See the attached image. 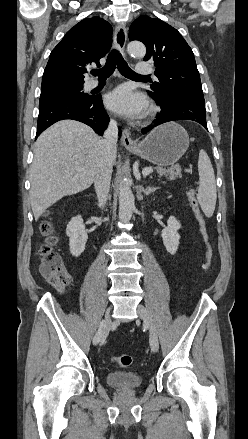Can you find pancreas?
<instances>
[{
    "mask_svg": "<svg viewBox=\"0 0 248 439\" xmlns=\"http://www.w3.org/2000/svg\"><path fill=\"white\" fill-rule=\"evenodd\" d=\"M157 173L159 174V176H169L170 180L175 179L176 177H181V166L180 165H175L172 166L170 168H161V167H157L156 168ZM164 183V182H163Z\"/></svg>",
    "mask_w": 248,
    "mask_h": 439,
    "instance_id": "1",
    "label": "pancreas"
}]
</instances>
